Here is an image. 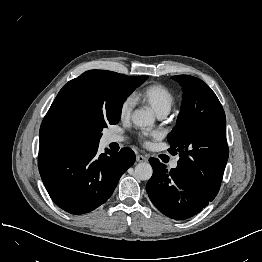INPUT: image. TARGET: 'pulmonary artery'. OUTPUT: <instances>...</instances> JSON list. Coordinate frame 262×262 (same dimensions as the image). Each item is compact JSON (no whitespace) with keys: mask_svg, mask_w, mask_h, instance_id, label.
<instances>
[{"mask_svg":"<svg viewBox=\"0 0 262 262\" xmlns=\"http://www.w3.org/2000/svg\"><path fill=\"white\" fill-rule=\"evenodd\" d=\"M167 114L168 113H166V112H162V113L158 114V117L159 118H164ZM107 140H108L109 143H119V142L123 141V138L121 136L117 135V134L111 133V134L108 135ZM170 166L172 168H175L177 166V161L176 160L173 161L170 164Z\"/></svg>","mask_w":262,"mask_h":262,"instance_id":"pulmonary-artery-1","label":"pulmonary artery"}]
</instances>
